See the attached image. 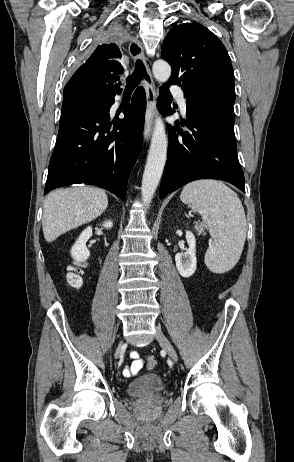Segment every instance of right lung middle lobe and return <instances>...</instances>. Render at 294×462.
Wrapping results in <instances>:
<instances>
[{
  "instance_id": "obj_1",
  "label": "right lung middle lobe",
  "mask_w": 294,
  "mask_h": 462,
  "mask_svg": "<svg viewBox=\"0 0 294 462\" xmlns=\"http://www.w3.org/2000/svg\"><path fill=\"white\" fill-rule=\"evenodd\" d=\"M121 36V31L118 28H110L109 30L100 35L97 42L102 43L118 40L119 38H121ZM107 99L108 97H102L93 94L75 95L63 100L61 114H64L71 110L89 109L93 106L101 104L103 101Z\"/></svg>"
}]
</instances>
